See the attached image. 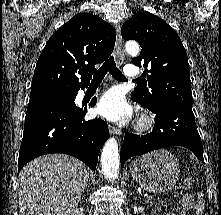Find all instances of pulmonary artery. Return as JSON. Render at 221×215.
Returning <instances> with one entry per match:
<instances>
[{"instance_id":"pulmonary-artery-1","label":"pulmonary artery","mask_w":221,"mask_h":215,"mask_svg":"<svg viewBox=\"0 0 221 215\" xmlns=\"http://www.w3.org/2000/svg\"><path fill=\"white\" fill-rule=\"evenodd\" d=\"M124 75L128 78H135L139 75V70L135 65H126Z\"/></svg>"}]
</instances>
